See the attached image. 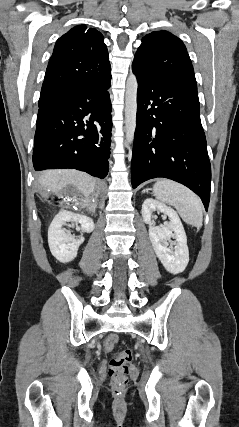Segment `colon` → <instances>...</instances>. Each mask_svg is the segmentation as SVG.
I'll list each match as a JSON object with an SVG mask.
<instances>
[{"mask_svg":"<svg viewBox=\"0 0 239 427\" xmlns=\"http://www.w3.org/2000/svg\"><path fill=\"white\" fill-rule=\"evenodd\" d=\"M131 361L132 351L129 349L115 353L110 360L108 372L112 387L117 395L123 394L127 386Z\"/></svg>","mask_w":239,"mask_h":427,"instance_id":"1","label":"colon"}]
</instances>
